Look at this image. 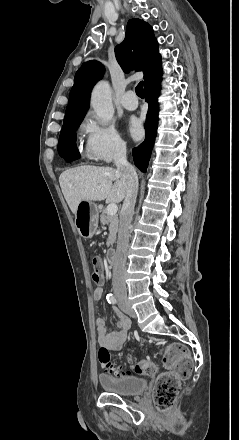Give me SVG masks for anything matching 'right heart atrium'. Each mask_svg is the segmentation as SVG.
Here are the masks:
<instances>
[{
  "label": "right heart atrium",
  "mask_w": 239,
  "mask_h": 440,
  "mask_svg": "<svg viewBox=\"0 0 239 440\" xmlns=\"http://www.w3.org/2000/svg\"><path fill=\"white\" fill-rule=\"evenodd\" d=\"M82 128L85 134L84 154L89 160L110 163L124 153V143L115 129L98 121L92 113L86 116Z\"/></svg>",
  "instance_id": "d8ad5b80"
}]
</instances>
